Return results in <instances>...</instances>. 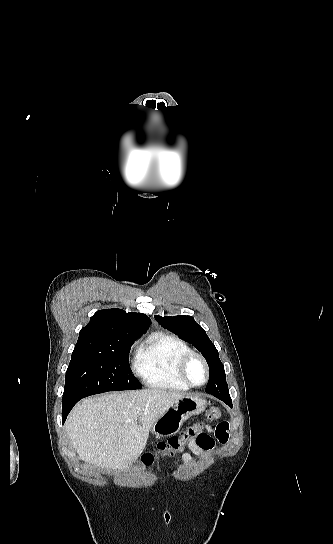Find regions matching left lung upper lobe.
Masks as SVG:
<instances>
[{
    "label": "left lung upper lobe",
    "mask_w": 333,
    "mask_h": 544,
    "mask_svg": "<svg viewBox=\"0 0 333 544\" xmlns=\"http://www.w3.org/2000/svg\"><path fill=\"white\" fill-rule=\"evenodd\" d=\"M158 323L178 335L182 340L194 345L205 357L209 366V381L205 391L228 392L224 366L218 351L207 336L205 330L191 316L161 317L155 316Z\"/></svg>",
    "instance_id": "5c2ea615"
}]
</instances>
